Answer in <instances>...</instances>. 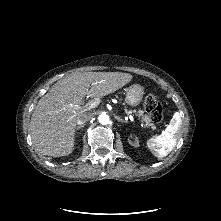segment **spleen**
I'll return each mask as SVG.
<instances>
[{"instance_id":"spleen-1","label":"spleen","mask_w":221,"mask_h":221,"mask_svg":"<svg viewBox=\"0 0 221 221\" xmlns=\"http://www.w3.org/2000/svg\"><path fill=\"white\" fill-rule=\"evenodd\" d=\"M182 120L179 112H175L170 123L163 132L148 140V147L155 157H166L176 146V134L181 127Z\"/></svg>"}]
</instances>
